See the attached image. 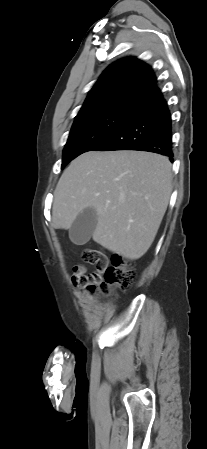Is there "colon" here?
<instances>
[{
  "instance_id": "1",
  "label": "colon",
  "mask_w": 207,
  "mask_h": 449,
  "mask_svg": "<svg viewBox=\"0 0 207 449\" xmlns=\"http://www.w3.org/2000/svg\"><path fill=\"white\" fill-rule=\"evenodd\" d=\"M81 259L95 266L96 272L89 281L100 283L99 289L103 295H111L114 288L128 289L135 281V272L129 267L128 262L119 255H114L109 263L108 257L99 249L86 248L81 253ZM94 290L93 285L89 286Z\"/></svg>"
}]
</instances>
